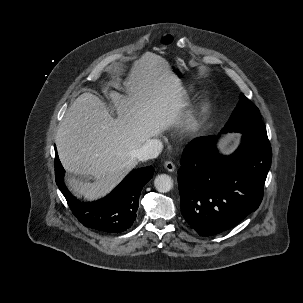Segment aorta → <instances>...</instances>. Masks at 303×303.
<instances>
[{
    "label": "aorta",
    "mask_w": 303,
    "mask_h": 303,
    "mask_svg": "<svg viewBox=\"0 0 303 303\" xmlns=\"http://www.w3.org/2000/svg\"><path fill=\"white\" fill-rule=\"evenodd\" d=\"M154 186L158 192H169L173 187V181L167 174H161L156 176L154 180Z\"/></svg>",
    "instance_id": "1"
}]
</instances>
